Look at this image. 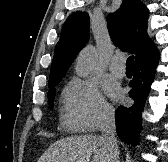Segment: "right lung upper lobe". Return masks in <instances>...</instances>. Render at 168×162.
Instances as JSON below:
<instances>
[{
  "label": "right lung upper lobe",
  "mask_w": 168,
  "mask_h": 162,
  "mask_svg": "<svg viewBox=\"0 0 168 162\" xmlns=\"http://www.w3.org/2000/svg\"><path fill=\"white\" fill-rule=\"evenodd\" d=\"M148 16L147 8L139 0H123L120 8L107 16V27L114 44L123 51L135 54L136 61L157 50L147 36ZM88 39V14H71L63 25L55 48L48 85L61 81Z\"/></svg>",
  "instance_id": "1"
}]
</instances>
